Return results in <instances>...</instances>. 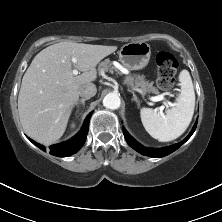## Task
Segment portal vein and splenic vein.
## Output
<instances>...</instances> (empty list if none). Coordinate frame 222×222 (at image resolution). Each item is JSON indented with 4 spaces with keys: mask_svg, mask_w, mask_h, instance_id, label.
I'll return each instance as SVG.
<instances>
[{
    "mask_svg": "<svg viewBox=\"0 0 222 222\" xmlns=\"http://www.w3.org/2000/svg\"><path fill=\"white\" fill-rule=\"evenodd\" d=\"M72 62H73L74 64L77 63V59H76V58H72ZM72 73H73V75H78V70H77V69H74V70L72 71ZM150 99H151V101H153V102H158V101L164 100V95L161 94V95H158V96L151 97ZM166 104H168V105L171 106V103H170V102L165 103V105H166ZM164 108H165V106H160V107H158V110H159L161 113H163Z\"/></svg>",
    "mask_w": 222,
    "mask_h": 222,
    "instance_id": "18ae733b",
    "label": "portal vein and splenic vein"
}]
</instances>
